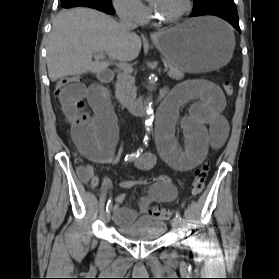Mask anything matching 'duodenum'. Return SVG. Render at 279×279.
<instances>
[{
    "label": "duodenum",
    "instance_id": "obj_1",
    "mask_svg": "<svg viewBox=\"0 0 279 279\" xmlns=\"http://www.w3.org/2000/svg\"><path fill=\"white\" fill-rule=\"evenodd\" d=\"M95 76L101 82L110 81L113 77L111 71H109V70L96 72ZM123 106L125 107V109L127 111H129L131 114H133L135 116H142V115L146 114V112L148 110V106L142 98L134 99L129 102H124Z\"/></svg>",
    "mask_w": 279,
    "mask_h": 279
}]
</instances>
